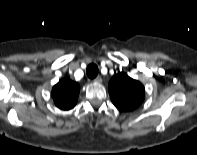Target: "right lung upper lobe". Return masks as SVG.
I'll return each instance as SVG.
<instances>
[{
  "label": "right lung upper lobe",
  "mask_w": 197,
  "mask_h": 155,
  "mask_svg": "<svg viewBox=\"0 0 197 155\" xmlns=\"http://www.w3.org/2000/svg\"><path fill=\"white\" fill-rule=\"evenodd\" d=\"M79 90V85L70 79L59 81L52 89L56 106L62 110L72 109L77 103Z\"/></svg>",
  "instance_id": "right-lung-upper-lobe-1"
}]
</instances>
